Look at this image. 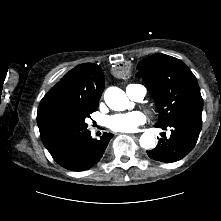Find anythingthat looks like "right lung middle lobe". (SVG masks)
<instances>
[{"label": "right lung middle lobe", "mask_w": 221, "mask_h": 221, "mask_svg": "<svg viewBox=\"0 0 221 221\" xmlns=\"http://www.w3.org/2000/svg\"><path fill=\"white\" fill-rule=\"evenodd\" d=\"M96 107L79 108L66 105L53 106L37 116V124L44 146L49 152L58 151L87 130L86 119Z\"/></svg>", "instance_id": "dd1d6c3e"}]
</instances>
